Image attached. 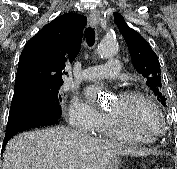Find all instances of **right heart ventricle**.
<instances>
[{
	"instance_id": "obj_1",
	"label": "right heart ventricle",
	"mask_w": 177,
	"mask_h": 169,
	"mask_svg": "<svg viewBox=\"0 0 177 169\" xmlns=\"http://www.w3.org/2000/svg\"><path fill=\"white\" fill-rule=\"evenodd\" d=\"M101 135L111 138V139H127L122 134H120L113 126L111 121H107L101 130ZM143 143H150L152 141H139Z\"/></svg>"
}]
</instances>
